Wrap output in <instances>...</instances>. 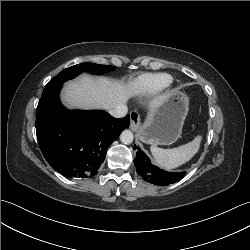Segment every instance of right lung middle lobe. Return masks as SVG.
Returning <instances> with one entry per match:
<instances>
[{"label":"right lung middle lobe","instance_id":"1","mask_svg":"<svg viewBox=\"0 0 250 250\" xmlns=\"http://www.w3.org/2000/svg\"><path fill=\"white\" fill-rule=\"evenodd\" d=\"M114 68H115L114 66L99 65V64H94V63H81V64L74 65L72 67L64 69L54 78H52L51 81L46 85L42 95L61 86L65 81L76 77L82 71H90L93 74L99 75L104 72L111 71Z\"/></svg>","mask_w":250,"mask_h":250}]
</instances>
